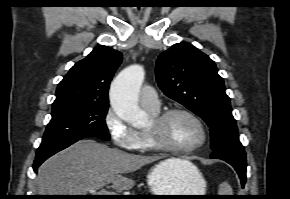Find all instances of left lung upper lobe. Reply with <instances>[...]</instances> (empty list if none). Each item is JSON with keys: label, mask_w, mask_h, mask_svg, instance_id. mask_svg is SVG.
I'll list each match as a JSON object with an SVG mask.
<instances>
[{"label": "left lung upper lobe", "mask_w": 290, "mask_h": 199, "mask_svg": "<svg viewBox=\"0 0 290 199\" xmlns=\"http://www.w3.org/2000/svg\"><path fill=\"white\" fill-rule=\"evenodd\" d=\"M156 79L166 96L207 123L214 152L243 148L223 78L206 54L186 42L175 44L158 57Z\"/></svg>", "instance_id": "obj_1"}]
</instances>
